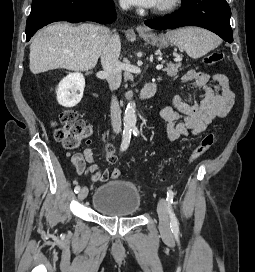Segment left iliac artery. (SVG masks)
<instances>
[{"mask_svg": "<svg viewBox=\"0 0 255 272\" xmlns=\"http://www.w3.org/2000/svg\"><path fill=\"white\" fill-rule=\"evenodd\" d=\"M132 132L135 136H137L139 134V131L137 129V127H134L132 129ZM174 192L172 190H168L167 191V198H166V201H167V204H168V212H169V217H170V228L173 232L174 235H178V232H179V222H178V219L176 218L175 216V213L172 209V204L174 202Z\"/></svg>", "mask_w": 255, "mask_h": 272, "instance_id": "1", "label": "left iliac artery"}]
</instances>
